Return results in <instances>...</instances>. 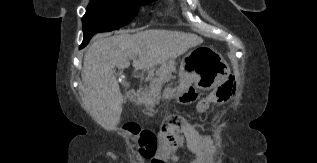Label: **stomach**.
<instances>
[{
	"label": "stomach",
	"instance_id": "0dacf381",
	"mask_svg": "<svg viewBox=\"0 0 317 163\" xmlns=\"http://www.w3.org/2000/svg\"><path fill=\"white\" fill-rule=\"evenodd\" d=\"M205 56L197 62L190 64L183 62L179 71V85L176 88H165L163 95L159 93L153 99H169L180 96L189 86L196 84L202 90H210L224 82L230 74V68L224 58L213 48L204 47ZM139 101L148 104L150 98L143 92Z\"/></svg>",
	"mask_w": 317,
	"mask_h": 163
}]
</instances>
